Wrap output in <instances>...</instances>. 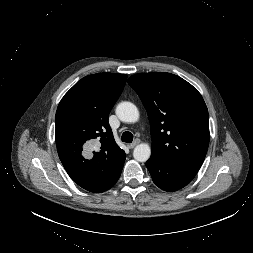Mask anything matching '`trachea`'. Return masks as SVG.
<instances>
[{"label": "trachea", "mask_w": 253, "mask_h": 253, "mask_svg": "<svg viewBox=\"0 0 253 253\" xmlns=\"http://www.w3.org/2000/svg\"><path fill=\"white\" fill-rule=\"evenodd\" d=\"M121 139L123 142L131 143L133 141V134L129 131H126L122 134Z\"/></svg>", "instance_id": "obj_1"}]
</instances>
